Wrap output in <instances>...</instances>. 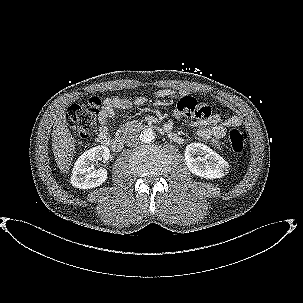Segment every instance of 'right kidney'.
<instances>
[{"instance_id": "obj_1", "label": "right kidney", "mask_w": 303, "mask_h": 303, "mask_svg": "<svg viewBox=\"0 0 303 303\" xmlns=\"http://www.w3.org/2000/svg\"><path fill=\"white\" fill-rule=\"evenodd\" d=\"M110 156L108 147L99 145L85 151L76 161L72 174L71 184L79 189H90L100 186L107 179V170L94 169L93 161H107Z\"/></svg>"}]
</instances>
